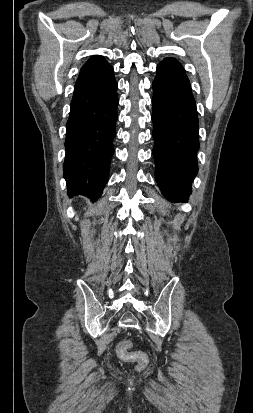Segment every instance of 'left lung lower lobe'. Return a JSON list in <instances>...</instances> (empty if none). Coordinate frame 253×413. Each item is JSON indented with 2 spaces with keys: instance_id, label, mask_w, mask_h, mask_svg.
Wrapping results in <instances>:
<instances>
[{
  "instance_id": "1",
  "label": "left lung lower lobe",
  "mask_w": 253,
  "mask_h": 413,
  "mask_svg": "<svg viewBox=\"0 0 253 413\" xmlns=\"http://www.w3.org/2000/svg\"><path fill=\"white\" fill-rule=\"evenodd\" d=\"M155 179L170 201L188 200L198 172L199 122L195 99L182 65L166 58L153 81Z\"/></svg>"
}]
</instances>
